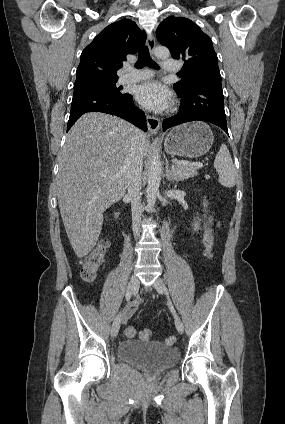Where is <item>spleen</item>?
Masks as SVG:
<instances>
[{"mask_svg":"<svg viewBox=\"0 0 285 424\" xmlns=\"http://www.w3.org/2000/svg\"><path fill=\"white\" fill-rule=\"evenodd\" d=\"M214 167L219 175V183L227 188L235 186L237 181V172L229 150L225 144H222L214 161Z\"/></svg>","mask_w":285,"mask_h":424,"instance_id":"1","label":"spleen"}]
</instances>
